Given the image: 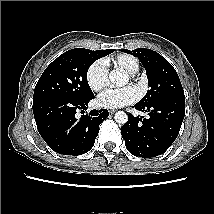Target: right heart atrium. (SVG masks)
Wrapping results in <instances>:
<instances>
[{
  "mask_svg": "<svg viewBox=\"0 0 214 214\" xmlns=\"http://www.w3.org/2000/svg\"><path fill=\"white\" fill-rule=\"evenodd\" d=\"M86 80L89 87L99 92L108 84V66L104 60H96L90 64L86 71Z\"/></svg>",
  "mask_w": 214,
  "mask_h": 214,
  "instance_id": "right-heart-atrium-1",
  "label": "right heart atrium"
}]
</instances>
